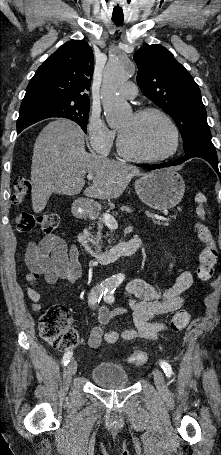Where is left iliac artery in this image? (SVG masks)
I'll list each match as a JSON object with an SVG mask.
<instances>
[{
  "mask_svg": "<svg viewBox=\"0 0 221 455\" xmlns=\"http://www.w3.org/2000/svg\"><path fill=\"white\" fill-rule=\"evenodd\" d=\"M115 289L116 288L114 286H111V285L107 288V290L104 293V300L106 302L112 303L114 301L113 293H114ZM160 366L164 370L165 375L168 378H170L171 375L173 374L171 365L163 360V361L160 362Z\"/></svg>",
  "mask_w": 221,
  "mask_h": 455,
  "instance_id": "left-iliac-artery-1",
  "label": "left iliac artery"
}]
</instances>
